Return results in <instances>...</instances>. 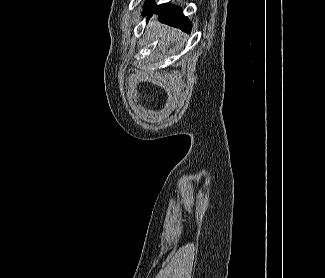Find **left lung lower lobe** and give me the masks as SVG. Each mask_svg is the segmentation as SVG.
Masks as SVG:
<instances>
[{
	"label": "left lung lower lobe",
	"instance_id": "left-lung-lower-lobe-1",
	"mask_svg": "<svg viewBox=\"0 0 325 278\" xmlns=\"http://www.w3.org/2000/svg\"><path fill=\"white\" fill-rule=\"evenodd\" d=\"M143 10L148 15L147 20L152 17V13L158 14V20L161 23L180 27L185 32H190L191 30V22L183 15L182 9L179 6L169 3L155 6L152 0H147Z\"/></svg>",
	"mask_w": 325,
	"mask_h": 278
}]
</instances>
